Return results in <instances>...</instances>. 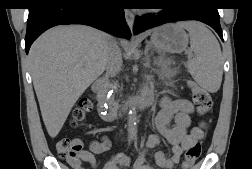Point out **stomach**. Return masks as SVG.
Returning <instances> with one entry per match:
<instances>
[{"mask_svg":"<svg viewBox=\"0 0 252 169\" xmlns=\"http://www.w3.org/2000/svg\"><path fill=\"white\" fill-rule=\"evenodd\" d=\"M151 43L159 50L181 53L188 45V35L179 24H166L155 29Z\"/></svg>","mask_w":252,"mask_h":169,"instance_id":"1","label":"stomach"}]
</instances>
